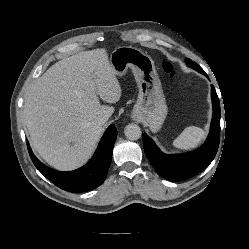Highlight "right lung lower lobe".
Masks as SVG:
<instances>
[{"label": "right lung lower lobe", "instance_id": "98d812e1", "mask_svg": "<svg viewBox=\"0 0 249 249\" xmlns=\"http://www.w3.org/2000/svg\"><path fill=\"white\" fill-rule=\"evenodd\" d=\"M116 137L117 130L114 125H110L92 159L83 167L69 172L56 171L45 166L35 157L27 140L26 142L34 165L47 179L63 190L85 192L97 188L104 182L111 163Z\"/></svg>", "mask_w": 249, "mask_h": 249}]
</instances>
